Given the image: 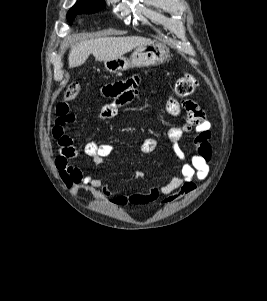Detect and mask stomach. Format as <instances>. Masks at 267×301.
Wrapping results in <instances>:
<instances>
[{
  "label": "stomach",
  "mask_w": 267,
  "mask_h": 301,
  "mask_svg": "<svg viewBox=\"0 0 267 301\" xmlns=\"http://www.w3.org/2000/svg\"><path fill=\"white\" fill-rule=\"evenodd\" d=\"M170 57L169 48L161 42L150 41L135 48L130 59L125 57L105 61L110 73H120L132 67H149L165 63Z\"/></svg>",
  "instance_id": "1"
}]
</instances>
